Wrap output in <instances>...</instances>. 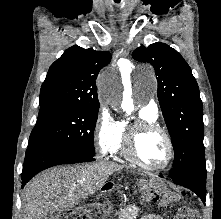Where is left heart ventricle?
<instances>
[{
	"instance_id": "obj_1",
	"label": "left heart ventricle",
	"mask_w": 221,
	"mask_h": 219,
	"mask_svg": "<svg viewBox=\"0 0 221 219\" xmlns=\"http://www.w3.org/2000/svg\"><path fill=\"white\" fill-rule=\"evenodd\" d=\"M137 154L146 164L159 167L167 158L168 148L164 137L158 132H146L137 141Z\"/></svg>"
}]
</instances>
